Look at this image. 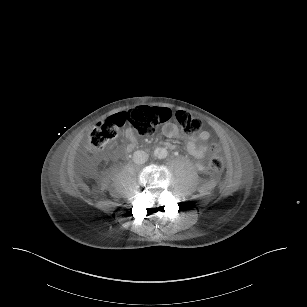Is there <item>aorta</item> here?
Returning a JSON list of instances; mask_svg holds the SVG:
<instances>
[{
  "label": "aorta",
  "instance_id": "obj_1",
  "mask_svg": "<svg viewBox=\"0 0 307 307\" xmlns=\"http://www.w3.org/2000/svg\"><path fill=\"white\" fill-rule=\"evenodd\" d=\"M165 154H167V150L161 149V151L159 152L158 156H159L160 158H165V157H166Z\"/></svg>",
  "mask_w": 307,
  "mask_h": 307
}]
</instances>
